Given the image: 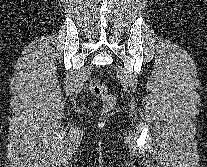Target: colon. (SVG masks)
I'll use <instances>...</instances> for the list:
<instances>
[{
  "instance_id": "obj_1",
  "label": "colon",
  "mask_w": 207,
  "mask_h": 167,
  "mask_svg": "<svg viewBox=\"0 0 207 167\" xmlns=\"http://www.w3.org/2000/svg\"><path fill=\"white\" fill-rule=\"evenodd\" d=\"M90 91L93 95L99 97L103 102V109L108 111L112 109L116 103L114 95L110 94L108 88L98 80L90 82Z\"/></svg>"
}]
</instances>
